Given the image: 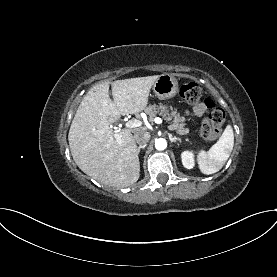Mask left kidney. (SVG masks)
<instances>
[{
  "label": "left kidney",
  "mask_w": 277,
  "mask_h": 277,
  "mask_svg": "<svg viewBox=\"0 0 277 277\" xmlns=\"http://www.w3.org/2000/svg\"><path fill=\"white\" fill-rule=\"evenodd\" d=\"M182 158V164L185 168L187 169H192L195 165L194 163V158H193V153L190 151H184L181 154Z\"/></svg>",
  "instance_id": "left-kidney-1"
}]
</instances>
